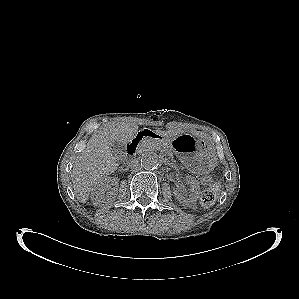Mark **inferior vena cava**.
I'll use <instances>...</instances> for the list:
<instances>
[{"mask_svg":"<svg viewBox=\"0 0 299 299\" xmlns=\"http://www.w3.org/2000/svg\"><path fill=\"white\" fill-rule=\"evenodd\" d=\"M127 165L129 166V167H135V166H137L138 165V161L136 160V159H133V160H130L128 163H127Z\"/></svg>","mask_w":299,"mask_h":299,"instance_id":"1","label":"inferior vena cava"}]
</instances>
